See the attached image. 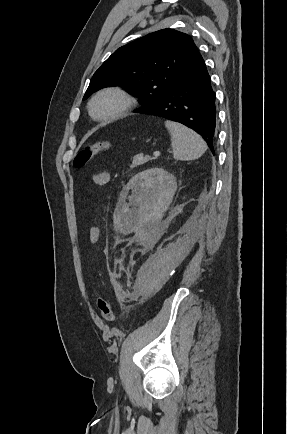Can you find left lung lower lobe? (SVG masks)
<instances>
[{
    "instance_id": "obj_1",
    "label": "left lung lower lobe",
    "mask_w": 287,
    "mask_h": 434,
    "mask_svg": "<svg viewBox=\"0 0 287 434\" xmlns=\"http://www.w3.org/2000/svg\"><path fill=\"white\" fill-rule=\"evenodd\" d=\"M135 112L184 124L200 134L214 152L215 93L203 58L186 69L156 104Z\"/></svg>"
}]
</instances>
